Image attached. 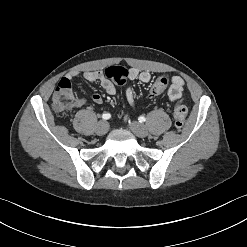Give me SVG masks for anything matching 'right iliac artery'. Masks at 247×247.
I'll return each instance as SVG.
<instances>
[{
    "instance_id": "82829eb1",
    "label": "right iliac artery",
    "mask_w": 247,
    "mask_h": 247,
    "mask_svg": "<svg viewBox=\"0 0 247 247\" xmlns=\"http://www.w3.org/2000/svg\"><path fill=\"white\" fill-rule=\"evenodd\" d=\"M111 117V114L110 113H104L103 115H102V118L104 119V120H107V119H109Z\"/></svg>"
}]
</instances>
